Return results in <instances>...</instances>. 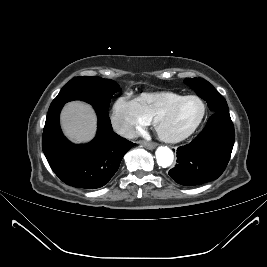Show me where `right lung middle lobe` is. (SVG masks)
Wrapping results in <instances>:
<instances>
[{"mask_svg":"<svg viewBox=\"0 0 267 267\" xmlns=\"http://www.w3.org/2000/svg\"><path fill=\"white\" fill-rule=\"evenodd\" d=\"M120 89L110 79L100 77H75L71 79L52 101L49 110L72 100H83L96 108L107 111L112 96Z\"/></svg>","mask_w":267,"mask_h":267,"instance_id":"right-lung-middle-lobe-1","label":"right lung middle lobe"}]
</instances>
